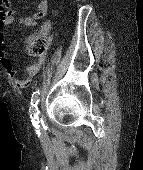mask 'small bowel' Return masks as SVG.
<instances>
[{
    "label": "small bowel",
    "instance_id": "obj_1",
    "mask_svg": "<svg viewBox=\"0 0 143 170\" xmlns=\"http://www.w3.org/2000/svg\"><path fill=\"white\" fill-rule=\"evenodd\" d=\"M48 10V3L46 0H41L36 4L35 10L27 15H20L17 19L14 14L8 15L5 19L0 21V63L7 71L8 75L14 80L18 88H25L30 83L31 79L39 72L43 63L44 57H40L35 62L29 64L25 68V76L22 79L17 78V70L10 61L3 45L6 39L5 27L12 25L16 21L25 27H33L38 30L40 34H47L51 29L50 22L46 21L38 24L37 21L43 18Z\"/></svg>",
    "mask_w": 143,
    "mask_h": 170
}]
</instances>
